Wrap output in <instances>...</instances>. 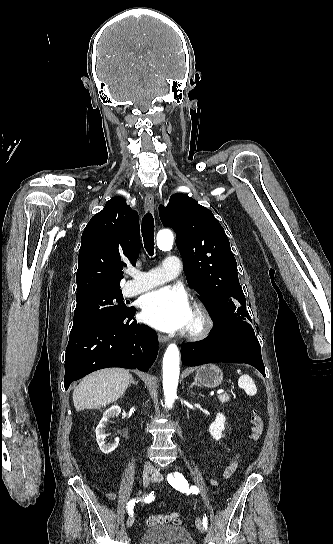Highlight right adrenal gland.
Segmentation results:
<instances>
[{
	"instance_id": "obj_1",
	"label": "right adrenal gland",
	"mask_w": 333,
	"mask_h": 544,
	"mask_svg": "<svg viewBox=\"0 0 333 544\" xmlns=\"http://www.w3.org/2000/svg\"><path fill=\"white\" fill-rule=\"evenodd\" d=\"M131 384H134V385H137L138 383L134 381L133 377L131 376V379H130V384L129 386H131Z\"/></svg>"
}]
</instances>
